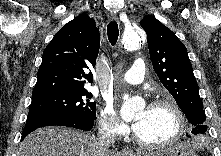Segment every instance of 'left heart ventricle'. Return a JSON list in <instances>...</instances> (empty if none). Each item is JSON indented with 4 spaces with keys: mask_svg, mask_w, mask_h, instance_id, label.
<instances>
[{
    "mask_svg": "<svg viewBox=\"0 0 221 156\" xmlns=\"http://www.w3.org/2000/svg\"><path fill=\"white\" fill-rule=\"evenodd\" d=\"M141 119L136 130L138 136L147 142H163L170 139L177 130V119L173 111L167 107H148L135 115Z\"/></svg>",
    "mask_w": 221,
    "mask_h": 156,
    "instance_id": "obj_1",
    "label": "left heart ventricle"
}]
</instances>
